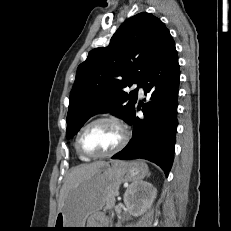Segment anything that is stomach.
I'll return each instance as SVG.
<instances>
[{
	"label": "stomach",
	"instance_id": "1",
	"mask_svg": "<svg viewBox=\"0 0 231 231\" xmlns=\"http://www.w3.org/2000/svg\"><path fill=\"white\" fill-rule=\"evenodd\" d=\"M148 174L143 161H111L90 178L79 183L66 197L54 222V230L65 231L85 228L86 219L106 207L111 192H118L124 182L142 180Z\"/></svg>",
	"mask_w": 231,
	"mask_h": 231
}]
</instances>
